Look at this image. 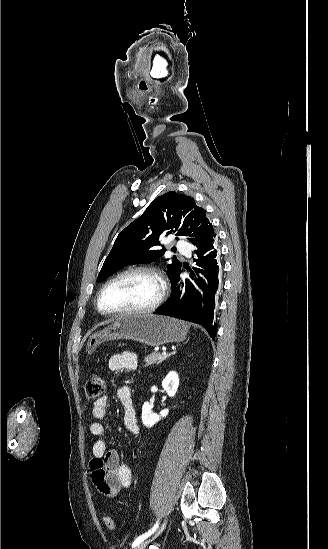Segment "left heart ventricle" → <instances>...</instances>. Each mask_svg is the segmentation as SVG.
I'll list each match as a JSON object with an SVG mask.
<instances>
[{
  "label": "left heart ventricle",
  "instance_id": "left-heart-ventricle-1",
  "mask_svg": "<svg viewBox=\"0 0 328 549\" xmlns=\"http://www.w3.org/2000/svg\"><path fill=\"white\" fill-rule=\"evenodd\" d=\"M158 291L159 284L151 275L141 271L130 272L106 290L103 305L113 311L143 307L156 298Z\"/></svg>",
  "mask_w": 328,
  "mask_h": 549
}]
</instances>
